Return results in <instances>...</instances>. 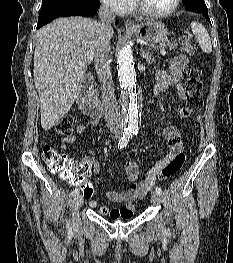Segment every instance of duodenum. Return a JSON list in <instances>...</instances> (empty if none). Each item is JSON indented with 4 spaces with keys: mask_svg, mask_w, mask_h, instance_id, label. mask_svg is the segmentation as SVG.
<instances>
[{
    "mask_svg": "<svg viewBox=\"0 0 233 263\" xmlns=\"http://www.w3.org/2000/svg\"><path fill=\"white\" fill-rule=\"evenodd\" d=\"M99 90L92 89V76L86 75L79 86L77 103L81 112L92 118H99L103 115V104L105 98H100Z\"/></svg>",
    "mask_w": 233,
    "mask_h": 263,
    "instance_id": "1",
    "label": "duodenum"
}]
</instances>
